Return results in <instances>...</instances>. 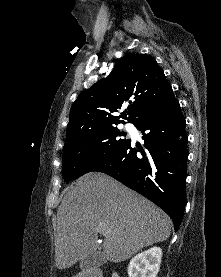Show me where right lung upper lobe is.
I'll return each instance as SVG.
<instances>
[{
	"mask_svg": "<svg viewBox=\"0 0 221 277\" xmlns=\"http://www.w3.org/2000/svg\"><path fill=\"white\" fill-rule=\"evenodd\" d=\"M171 86L156 60L131 53L121 58L106 78L83 90L70 109L66 140L96 127L133 123L148 107L162 99ZM128 115L115 116L122 106Z\"/></svg>",
	"mask_w": 221,
	"mask_h": 277,
	"instance_id": "obj_1",
	"label": "right lung upper lobe"
}]
</instances>
